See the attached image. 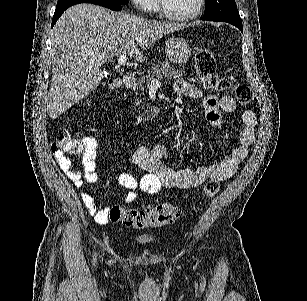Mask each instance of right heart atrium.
<instances>
[{
    "label": "right heart atrium",
    "mask_w": 307,
    "mask_h": 301,
    "mask_svg": "<svg viewBox=\"0 0 307 301\" xmlns=\"http://www.w3.org/2000/svg\"><path fill=\"white\" fill-rule=\"evenodd\" d=\"M138 11H154L153 0H134Z\"/></svg>",
    "instance_id": "d8ad5b80"
}]
</instances>
